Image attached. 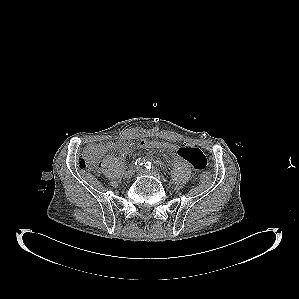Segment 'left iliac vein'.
Masks as SVG:
<instances>
[{
    "mask_svg": "<svg viewBox=\"0 0 299 299\" xmlns=\"http://www.w3.org/2000/svg\"><path fill=\"white\" fill-rule=\"evenodd\" d=\"M137 170L141 171V172H144V173L146 172V170L143 169L142 167H138ZM149 175H153V176L157 177L158 179H160L162 181H165V179L160 177L156 172H151V173H149Z\"/></svg>",
    "mask_w": 299,
    "mask_h": 299,
    "instance_id": "4c4485c4",
    "label": "left iliac vein"
}]
</instances>
